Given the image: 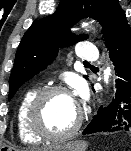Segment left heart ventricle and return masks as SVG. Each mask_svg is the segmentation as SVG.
Masks as SVG:
<instances>
[{
  "mask_svg": "<svg viewBox=\"0 0 131 151\" xmlns=\"http://www.w3.org/2000/svg\"><path fill=\"white\" fill-rule=\"evenodd\" d=\"M79 107L73 97L66 94H54L44 103L42 125L50 133L68 130L76 121Z\"/></svg>",
  "mask_w": 131,
  "mask_h": 151,
  "instance_id": "1",
  "label": "left heart ventricle"
}]
</instances>
